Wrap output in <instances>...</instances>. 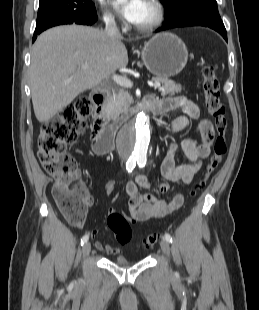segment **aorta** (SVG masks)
Returning <instances> with one entry per match:
<instances>
[{
  "label": "aorta",
  "mask_w": 259,
  "mask_h": 310,
  "mask_svg": "<svg viewBox=\"0 0 259 310\" xmlns=\"http://www.w3.org/2000/svg\"><path fill=\"white\" fill-rule=\"evenodd\" d=\"M149 143V117L142 111L122 130L119 136V147L127 157H141L147 154Z\"/></svg>",
  "instance_id": "obj_1"
}]
</instances>
